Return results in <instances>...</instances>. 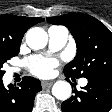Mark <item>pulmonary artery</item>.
<instances>
[{
	"label": "pulmonary artery",
	"instance_id": "obj_1",
	"mask_svg": "<svg viewBox=\"0 0 112 112\" xmlns=\"http://www.w3.org/2000/svg\"><path fill=\"white\" fill-rule=\"evenodd\" d=\"M49 46L52 51L60 50L64 47L68 39V30L63 26H52L48 29ZM87 79L80 80V85L85 86Z\"/></svg>",
	"mask_w": 112,
	"mask_h": 112
}]
</instances>
